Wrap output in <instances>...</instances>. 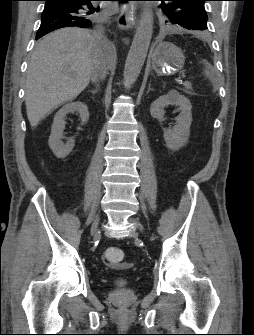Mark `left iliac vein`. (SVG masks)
Here are the masks:
<instances>
[{"mask_svg":"<svg viewBox=\"0 0 254 335\" xmlns=\"http://www.w3.org/2000/svg\"><path fill=\"white\" fill-rule=\"evenodd\" d=\"M131 221L142 231L143 230V227L142 225L139 223L138 220L132 218Z\"/></svg>","mask_w":254,"mask_h":335,"instance_id":"left-iliac-vein-1","label":"left iliac vein"}]
</instances>
